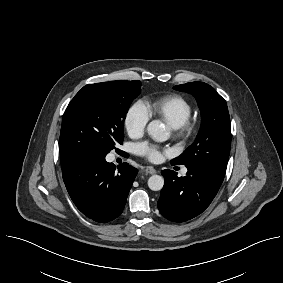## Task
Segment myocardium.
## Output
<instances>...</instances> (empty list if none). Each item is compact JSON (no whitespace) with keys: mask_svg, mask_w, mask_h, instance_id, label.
<instances>
[{"mask_svg":"<svg viewBox=\"0 0 283 283\" xmlns=\"http://www.w3.org/2000/svg\"><path fill=\"white\" fill-rule=\"evenodd\" d=\"M173 131L177 138L181 140H188L195 135L197 131V126L193 120H190L188 118L179 127L173 128Z\"/></svg>","mask_w":283,"mask_h":283,"instance_id":"1","label":"myocardium"}]
</instances>
